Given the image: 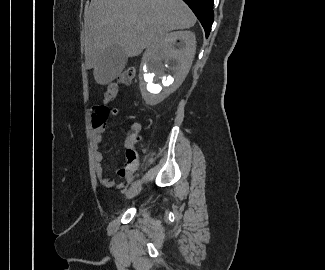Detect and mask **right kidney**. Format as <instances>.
Instances as JSON below:
<instances>
[{
  "instance_id": "1",
  "label": "right kidney",
  "mask_w": 325,
  "mask_h": 270,
  "mask_svg": "<svg viewBox=\"0 0 325 270\" xmlns=\"http://www.w3.org/2000/svg\"><path fill=\"white\" fill-rule=\"evenodd\" d=\"M195 50L194 33L177 31L167 34L145 51L140 91L146 104L160 103L182 84L192 65Z\"/></svg>"
}]
</instances>
